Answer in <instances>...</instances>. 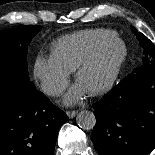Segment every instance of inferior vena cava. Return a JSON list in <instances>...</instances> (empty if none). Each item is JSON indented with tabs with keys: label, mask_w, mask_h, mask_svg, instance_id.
Returning a JSON list of instances; mask_svg holds the SVG:
<instances>
[{
	"label": "inferior vena cava",
	"mask_w": 155,
	"mask_h": 155,
	"mask_svg": "<svg viewBox=\"0 0 155 155\" xmlns=\"http://www.w3.org/2000/svg\"><path fill=\"white\" fill-rule=\"evenodd\" d=\"M42 90L51 96H60L63 93V88L53 82H45L42 84Z\"/></svg>",
	"instance_id": "602c4592"
}]
</instances>
